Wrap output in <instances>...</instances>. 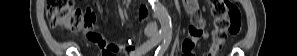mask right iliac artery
Returning a JSON list of instances; mask_svg holds the SVG:
<instances>
[{"instance_id": "82829eb1", "label": "right iliac artery", "mask_w": 297, "mask_h": 56, "mask_svg": "<svg viewBox=\"0 0 297 56\" xmlns=\"http://www.w3.org/2000/svg\"><path fill=\"white\" fill-rule=\"evenodd\" d=\"M163 38H164L163 34L161 33L157 34L152 39L148 40L147 42L139 46L136 50V53L138 55H143L144 53L148 52L151 48L156 46L158 43H160Z\"/></svg>"}]
</instances>
